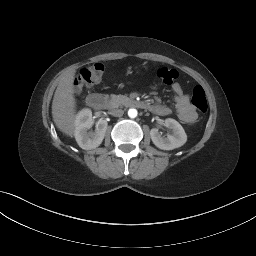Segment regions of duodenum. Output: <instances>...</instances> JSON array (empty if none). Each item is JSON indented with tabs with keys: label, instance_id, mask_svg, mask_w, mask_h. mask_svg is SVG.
<instances>
[{
	"label": "duodenum",
	"instance_id": "duodenum-1",
	"mask_svg": "<svg viewBox=\"0 0 256 256\" xmlns=\"http://www.w3.org/2000/svg\"><path fill=\"white\" fill-rule=\"evenodd\" d=\"M86 101L88 106L94 110L103 109L107 103L106 97L98 93L89 94ZM131 105L138 108H150L146 102L140 100H132Z\"/></svg>",
	"mask_w": 256,
	"mask_h": 256
}]
</instances>
